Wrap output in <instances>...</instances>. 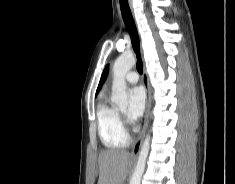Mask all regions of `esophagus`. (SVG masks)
Returning <instances> with one entry per match:
<instances>
[{
	"label": "esophagus",
	"mask_w": 235,
	"mask_h": 184,
	"mask_svg": "<svg viewBox=\"0 0 235 184\" xmlns=\"http://www.w3.org/2000/svg\"><path fill=\"white\" fill-rule=\"evenodd\" d=\"M129 2V6L132 10V1L128 0ZM143 85L145 87L146 90V108H145V116H144V124H143V129L141 134L139 135V137L137 138V140L135 141V144L133 146V149L131 151L130 156H138L140 149H141V145L144 139V135H145V131L149 122V114H150V104H151V88H150V83H149V78L147 75V71H146V67H145V63L143 62Z\"/></svg>",
	"instance_id": "obj_1"
}]
</instances>
